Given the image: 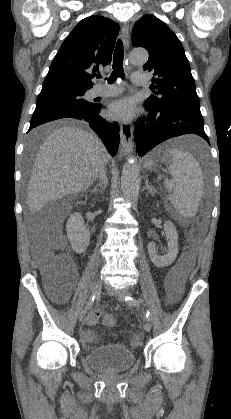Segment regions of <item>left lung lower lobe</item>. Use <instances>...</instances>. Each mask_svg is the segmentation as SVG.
Returning a JSON list of instances; mask_svg holds the SVG:
<instances>
[{
	"mask_svg": "<svg viewBox=\"0 0 231 419\" xmlns=\"http://www.w3.org/2000/svg\"><path fill=\"white\" fill-rule=\"evenodd\" d=\"M148 114L136 122L134 138L140 156L159 143L184 134H196L209 139L204 131L200 104L184 103L154 108L144 103Z\"/></svg>",
	"mask_w": 231,
	"mask_h": 419,
	"instance_id": "1",
	"label": "left lung lower lobe"
}]
</instances>
